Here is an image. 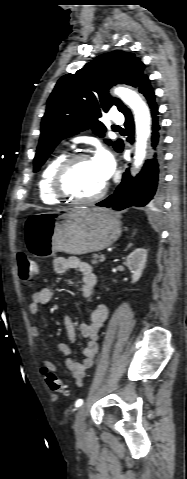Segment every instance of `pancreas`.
I'll use <instances>...</instances> for the list:
<instances>
[{
	"label": "pancreas",
	"instance_id": "cf45deb5",
	"mask_svg": "<svg viewBox=\"0 0 187 479\" xmlns=\"http://www.w3.org/2000/svg\"><path fill=\"white\" fill-rule=\"evenodd\" d=\"M103 261L104 259H102L101 256L93 255V260L91 261V263L97 265L99 262H103Z\"/></svg>",
	"mask_w": 187,
	"mask_h": 479
}]
</instances>
